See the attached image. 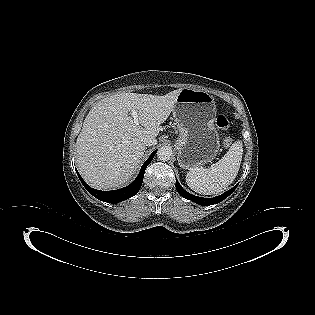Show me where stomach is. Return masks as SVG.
I'll return each mask as SVG.
<instances>
[{"label": "stomach", "instance_id": "1", "mask_svg": "<svg viewBox=\"0 0 315 315\" xmlns=\"http://www.w3.org/2000/svg\"><path fill=\"white\" fill-rule=\"evenodd\" d=\"M173 117L179 130L175 142L179 166L192 170L211 162L220 148L214 97L203 90L182 89Z\"/></svg>", "mask_w": 315, "mask_h": 315}]
</instances>
